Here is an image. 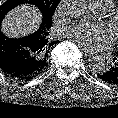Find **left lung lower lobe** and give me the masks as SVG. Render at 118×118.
Wrapping results in <instances>:
<instances>
[{"label":"left lung lower lobe","instance_id":"obj_1","mask_svg":"<svg viewBox=\"0 0 118 118\" xmlns=\"http://www.w3.org/2000/svg\"><path fill=\"white\" fill-rule=\"evenodd\" d=\"M108 66L109 67L105 72L99 73L97 74V76L109 84L117 85L118 84V51L113 54L112 61Z\"/></svg>","mask_w":118,"mask_h":118}]
</instances>
